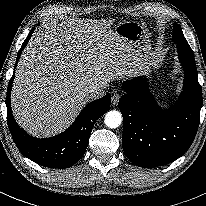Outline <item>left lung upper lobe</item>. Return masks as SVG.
Returning a JSON list of instances; mask_svg holds the SVG:
<instances>
[{
	"mask_svg": "<svg viewBox=\"0 0 206 206\" xmlns=\"http://www.w3.org/2000/svg\"><path fill=\"white\" fill-rule=\"evenodd\" d=\"M173 37L175 42L177 43V48H178V53H180L179 51L182 50L183 53L185 54H189V56H191L194 60V55L193 52L187 42V40L185 39L181 27L179 25H174V33H173Z\"/></svg>",
	"mask_w": 206,
	"mask_h": 206,
	"instance_id": "obj_1",
	"label": "left lung upper lobe"
}]
</instances>
